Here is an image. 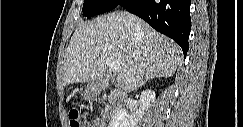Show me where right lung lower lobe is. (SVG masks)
Instances as JSON below:
<instances>
[{
  "instance_id": "1",
  "label": "right lung lower lobe",
  "mask_w": 243,
  "mask_h": 127,
  "mask_svg": "<svg viewBox=\"0 0 243 127\" xmlns=\"http://www.w3.org/2000/svg\"><path fill=\"white\" fill-rule=\"evenodd\" d=\"M119 5L172 38L186 56L191 28L190 0H120Z\"/></svg>"
}]
</instances>
